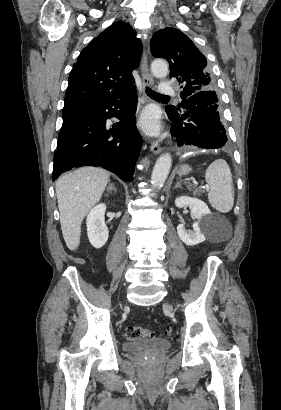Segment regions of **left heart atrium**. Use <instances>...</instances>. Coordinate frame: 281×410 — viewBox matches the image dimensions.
<instances>
[{
    "instance_id": "obj_1",
    "label": "left heart atrium",
    "mask_w": 281,
    "mask_h": 410,
    "mask_svg": "<svg viewBox=\"0 0 281 410\" xmlns=\"http://www.w3.org/2000/svg\"><path fill=\"white\" fill-rule=\"evenodd\" d=\"M142 127L149 132H156L159 129V120L155 111L147 110L143 113L140 121Z\"/></svg>"
}]
</instances>
